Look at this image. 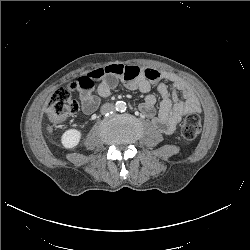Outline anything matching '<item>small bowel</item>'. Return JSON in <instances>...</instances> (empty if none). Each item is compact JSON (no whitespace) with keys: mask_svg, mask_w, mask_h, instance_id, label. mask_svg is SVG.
<instances>
[{"mask_svg":"<svg viewBox=\"0 0 250 250\" xmlns=\"http://www.w3.org/2000/svg\"><path fill=\"white\" fill-rule=\"evenodd\" d=\"M119 82L131 90H139L143 93H148L152 86L156 85L162 98L158 113L156 114L155 109L157 98L153 94L145 97L140 110L163 133L173 132L183 116L201 111L195 92L177 75L153 68L112 64L93 69L78 79L83 113L93 114L100 104V98L109 96ZM167 82L173 85L172 93L169 91ZM179 93L182 96L181 99L178 96Z\"/></svg>","mask_w":250,"mask_h":250,"instance_id":"1","label":"small bowel"}]
</instances>
